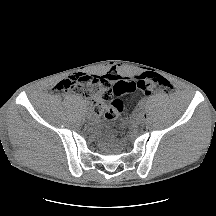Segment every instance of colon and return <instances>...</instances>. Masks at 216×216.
Instances as JSON below:
<instances>
[{
  "label": "colon",
  "instance_id": "1",
  "mask_svg": "<svg viewBox=\"0 0 216 216\" xmlns=\"http://www.w3.org/2000/svg\"><path fill=\"white\" fill-rule=\"evenodd\" d=\"M56 89L92 99L95 109L103 112L104 120L110 123L115 121L124 109L121 95L136 90L145 95H150L154 91L169 93L172 85L157 74H145L132 80L120 79L114 83L105 76L75 74L59 82Z\"/></svg>",
  "mask_w": 216,
  "mask_h": 216
}]
</instances>
